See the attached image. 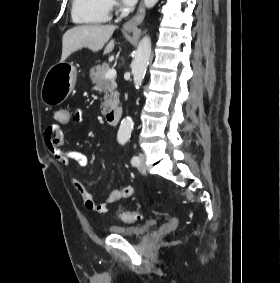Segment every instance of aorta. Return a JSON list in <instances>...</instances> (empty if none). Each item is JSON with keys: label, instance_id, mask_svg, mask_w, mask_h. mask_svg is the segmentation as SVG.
Returning a JSON list of instances; mask_svg holds the SVG:
<instances>
[{"label": "aorta", "instance_id": "obj_1", "mask_svg": "<svg viewBox=\"0 0 280 283\" xmlns=\"http://www.w3.org/2000/svg\"><path fill=\"white\" fill-rule=\"evenodd\" d=\"M158 0H144L147 8H152ZM151 56V40L148 36L142 38L136 50L134 59L131 64L133 81L136 89H139L145 77L146 69ZM133 128V120L127 116L121 121L117 139L119 143H125L129 139Z\"/></svg>", "mask_w": 280, "mask_h": 283}]
</instances>
